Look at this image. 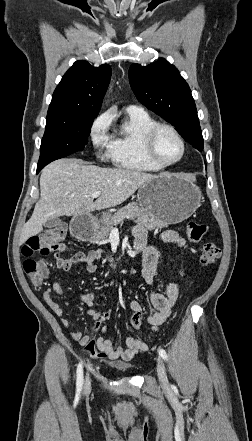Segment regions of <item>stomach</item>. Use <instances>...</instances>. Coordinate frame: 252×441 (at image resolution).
Wrapping results in <instances>:
<instances>
[{
	"mask_svg": "<svg viewBox=\"0 0 252 441\" xmlns=\"http://www.w3.org/2000/svg\"><path fill=\"white\" fill-rule=\"evenodd\" d=\"M200 189L183 175L160 174L144 185L137 193V201L144 212L152 218L177 224L189 218L202 202ZM110 217L103 215L102 222Z\"/></svg>",
	"mask_w": 252,
	"mask_h": 441,
	"instance_id": "stomach-1",
	"label": "stomach"
}]
</instances>
